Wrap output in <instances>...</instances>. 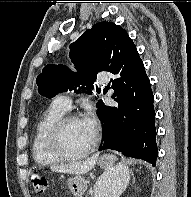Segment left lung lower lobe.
Here are the masks:
<instances>
[{"label": "left lung lower lobe", "mask_w": 191, "mask_h": 197, "mask_svg": "<svg viewBox=\"0 0 191 197\" xmlns=\"http://www.w3.org/2000/svg\"><path fill=\"white\" fill-rule=\"evenodd\" d=\"M113 74L117 78L111 80L112 98L118 102V107L103 104L98 112L105 125L102 132L104 143L100 150L114 149L155 166L158 153L154 96L145 68Z\"/></svg>", "instance_id": "obj_1"}]
</instances>
